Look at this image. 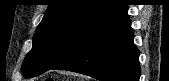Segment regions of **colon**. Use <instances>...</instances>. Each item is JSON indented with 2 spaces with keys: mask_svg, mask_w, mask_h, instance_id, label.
Returning a JSON list of instances; mask_svg holds the SVG:
<instances>
[{
  "mask_svg": "<svg viewBox=\"0 0 169 81\" xmlns=\"http://www.w3.org/2000/svg\"><path fill=\"white\" fill-rule=\"evenodd\" d=\"M46 81H55V79L52 78V77H49V78L46 79Z\"/></svg>",
  "mask_w": 169,
  "mask_h": 81,
  "instance_id": "5ec220e1",
  "label": "colon"
}]
</instances>
